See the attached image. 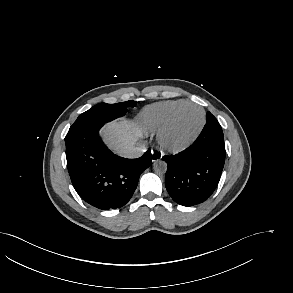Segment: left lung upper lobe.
<instances>
[{
	"label": "left lung upper lobe",
	"instance_id": "5c2ea615",
	"mask_svg": "<svg viewBox=\"0 0 293 293\" xmlns=\"http://www.w3.org/2000/svg\"><path fill=\"white\" fill-rule=\"evenodd\" d=\"M208 119H213V120L217 121V119L210 112L207 113V120Z\"/></svg>",
	"mask_w": 293,
	"mask_h": 293
}]
</instances>
